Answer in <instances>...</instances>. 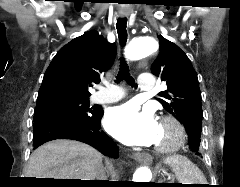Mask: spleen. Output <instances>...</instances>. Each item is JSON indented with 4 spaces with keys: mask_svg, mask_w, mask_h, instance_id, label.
I'll use <instances>...</instances> for the list:
<instances>
[{
    "mask_svg": "<svg viewBox=\"0 0 240 187\" xmlns=\"http://www.w3.org/2000/svg\"><path fill=\"white\" fill-rule=\"evenodd\" d=\"M177 180L183 184H206V179L200 169L188 158L181 155H173L165 160Z\"/></svg>",
    "mask_w": 240,
    "mask_h": 187,
    "instance_id": "spleen-1",
    "label": "spleen"
}]
</instances>
